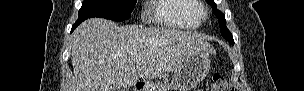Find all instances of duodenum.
<instances>
[{
  "label": "duodenum",
  "mask_w": 304,
  "mask_h": 91,
  "mask_svg": "<svg viewBox=\"0 0 304 91\" xmlns=\"http://www.w3.org/2000/svg\"><path fill=\"white\" fill-rule=\"evenodd\" d=\"M145 87H146V86H145L144 83L138 82V83H135V85H134V90H135V91H145V90H146Z\"/></svg>",
  "instance_id": "410a0bca"
}]
</instances>
